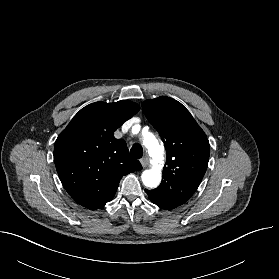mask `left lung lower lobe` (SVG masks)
Instances as JSON below:
<instances>
[{"mask_svg": "<svg viewBox=\"0 0 279 279\" xmlns=\"http://www.w3.org/2000/svg\"><path fill=\"white\" fill-rule=\"evenodd\" d=\"M149 199L151 200L152 203L156 204L158 207L166 210L174 209L183 204L181 202L167 201L153 196H149Z\"/></svg>", "mask_w": 279, "mask_h": 279, "instance_id": "1", "label": "left lung lower lobe"}]
</instances>
